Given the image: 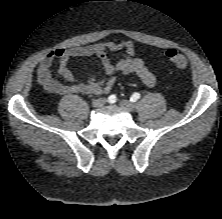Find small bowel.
I'll use <instances>...</instances> for the list:
<instances>
[{
    "label": "small bowel",
    "mask_w": 222,
    "mask_h": 219,
    "mask_svg": "<svg viewBox=\"0 0 222 219\" xmlns=\"http://www.w3.org/2000/svg\"><path fill=\"white\" fill-rule=\"evenodd\" d=\"M124 50L126 55L117 62H112L109 52ZM96 56L100 60L105 76L102 79L91 77L86 81H76L74 74L68 67L73 57ZM58 62V73L65 80L62 83L51 76V66ZM118 74L136 75L146 86L156 83L155 75L136 57L135 45L131 41H104L84 46L58 48L47 53L39 62L36 70L37 82L48 92L54 94H92L101 95L110 92Z\"/></svg>",
    "instance_id": "c3829d8e"
}]
</instances>
